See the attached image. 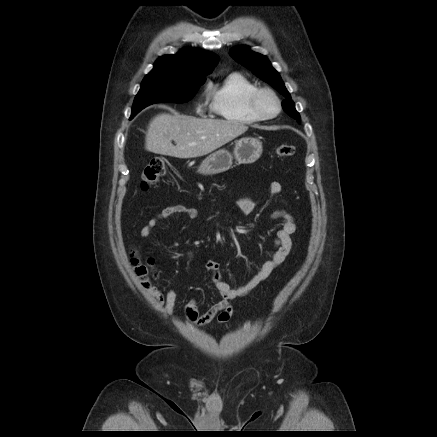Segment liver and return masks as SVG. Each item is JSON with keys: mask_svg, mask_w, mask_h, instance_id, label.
I'll list each match as a JSON object with an SVG mask.
<instances>
[{"mask_svg": "<svg viewBox=\"0 0 437 437\" xmlns=\"http://www.w3.org/2000/svg\"><path fill=\"white\" fill-rule=\"evenodd\" d=\"M247 130V126L237 122L164 113L150 121L145 149L177 158H196L211 153Z\"/></svg>", "mask_w": 437, "mask_h": 437, "instance_id": "liver-1", "label": "liver"}]
</instances>
